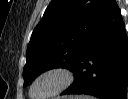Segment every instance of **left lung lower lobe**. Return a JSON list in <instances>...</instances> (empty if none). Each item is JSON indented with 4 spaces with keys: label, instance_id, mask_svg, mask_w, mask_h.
<instances>
[{
    "label": "left lung lower lobe",
    "instance_id": "obj_1",
    "mask_svg": "<svg viewBox=\"0 0 128 99\" xmlns=\"http://www.w3.org/2000/svg\"><path fill=\"white\" fill-rule=\"evenodd\" d=\"M70 70L76 80L61 95L88 94L101 99H126L128 38L115 0L108 1L84 51Z\"/></svg>",
    "mask_w": 128,
    "mask_h": 99
}]
</instances>
